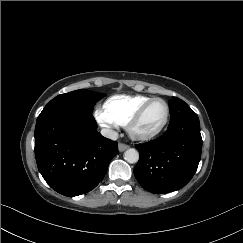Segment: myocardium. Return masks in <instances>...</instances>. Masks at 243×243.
Masks as SVG:
<instances>
[{
    "instance_id": "f54148a6",
    "label": "myocardium",
    "mask_w": 243,
    "mask_h": 243,
    "mask_svg": "<svg viewBox=\"0 0 243 243\" xmlns=\"http://www.w3.org/2000/svg\"><path fill=\"white\" fill-rule=\"evenodd\" d=\"M161 101L165 104L166 106V116L165 119L163 121V123L161 124V126L156 129L155 131H152L150 133H139L138 131H136V126L137 124L141 121L145 111L155 102ZM170 119V106L169 103L160 97H155L150 99L149 101H147L146 103H144L135 113L134 115L129 119L127 125H126V129L127 132L129 134V136L134 139V140H139V141H147L150 139L155 138L156 136H158L159 134H161L163 132V130L166 128L168 122Z\"/></svg>"
}]
</instances>
